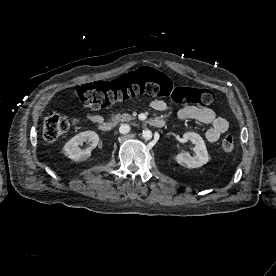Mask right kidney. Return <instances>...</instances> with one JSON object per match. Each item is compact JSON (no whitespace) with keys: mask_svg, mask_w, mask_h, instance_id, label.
I'll return each mask as SVG.
<instances>
[{"mask_svg":"<svg viewBox=\"0 0 276 276\" xmlns=\"http://www.w3.org/2000/svg\"><path fill=\"white\" fill-rule=\"evenodd\" d=\"M90 142V147L81 149L79 145ZM99 136L94 131L81 132L72 137L63 147V153L74 161H84L91 156V150L97 146Z\"/></svg>","mask_w":276,"mask_h":276,"instance_id":"right-kidney-1","label":"right kidney"}]
</instances>
